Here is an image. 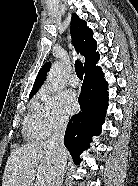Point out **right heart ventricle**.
<instances>
[{
    "label": "right heart ventricle",
    "mask_w": 138,
    "mask_h": 186,
    "mask_svg": "<svg viewBox=\"0 0 138 186\" xmlns=\"http://www.w3.org/2000/svg\"><path fill=\"white\" fill-rule=\"evenodd\" d=\"M40 108L41 104L34 99L30 105V111L25 119L24 134L31 140H40L47 136L41 125Z\"/></svg>",
    "instance_id": "e07e8e85"
}]
</instances>
